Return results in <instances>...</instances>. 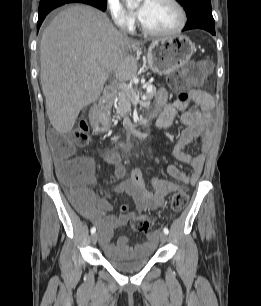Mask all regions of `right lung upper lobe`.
Wrapping results in <instances>:
<instances>
[{
  "label": "right lung upper lobe",
  "instance_id": "cb5924a9",
  "mask_svg": "<svg viewBox=\"0 0 261 306\" xmlns=\"http://www.w3.org/2000/svg\"><path fill=\"white\" fill-rule=\"evenodd\" d=\"M74 1H87V0H74Z\"/></svg>",
  "mask_w": 261,
  "mask_h": 306
}]
</instances>
